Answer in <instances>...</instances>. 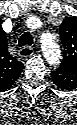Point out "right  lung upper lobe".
Wrapping results in <instances>:
<instances>
[{
  "label": "right lung upper lobe",
  "mask_w": 77,
  "mask_h": 125,
  "mask_svg": "<svg viewBox=\"0 0 77 125\" xmlns=\"http://www.w3.org/2000/svg\"><path fill=\"white\" fill-rule=\"evenodd\" d=\"M24 65L17 61L8 51L4 31L0 32V86L2 90L12 87L20 76Z\"/></svg>",
  "instance_id": "1"
}]
</instances>
